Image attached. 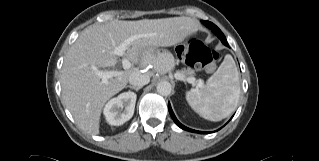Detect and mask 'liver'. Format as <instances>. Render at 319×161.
<instances>
[{"label":"liver","mask_w":319,"mask_h":161,"mask_svg":"<svg viewBox=\"0 0 319 161\" xmlns=\"http://www.w3.org/2000/svg\"><path fill=\"white\" fill-rule=\"evenodd\" d=\"M198 28V22L189 17L115 20L85 28L69 48L61 74L62 98L78 126L89 134H99L103 106L126 87L132 73L139 72V68L132 67L106 83L96 75L93 67L97 70L115 67L118 62V57L113 54L115 47L130 37H136L127 46L124 58L140 63L143 68L153 65L161 72L151 59L144 56L145 50L173 46L197 32Z\"/></svg>","instance_id":"liver-1"}]
</instances>
